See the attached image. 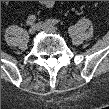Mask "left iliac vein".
I'll list each match as a JSON object with an SVG mask.
<instances>
[{
	"mask_svg": "<svg viewBox=\"0 0 109 109\" xmlns=\"http://www.w3.org/2000/svg\"><path fill=\"white\" fill-rule=\"evenodd\" d=\"M38 29H42L45 31H57L58 27H56L55 25H52L48 22H39L37 24Z\"/></svg>",
	"mask_w": 109,
	"mask_h": 109,
	"instance_id": "4c4485c4",
	"label": "left iliac vein"
}]
</instances>
